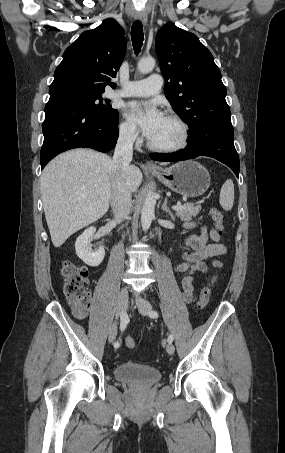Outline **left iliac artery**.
I'll use <instances>...</instances> for the list:
<instances>
[{
  "label": "left iliac artery",
  "mask_w": 285,
  "mask_h": 453,
  "mask_svg": "<svg viewBox=\"0 0 285 453\" xmlns=\"http://www.w3.org/2000/svg\"><path fill=\"white\" fill-rule=\"evenodd\" d=\"M149 316H150L151 318H158L159 314H158L157 311H154V310H153V311H150V312H149ZM173 339H174L173 335H169V336H168V342H169V343H172V342H173Z\"/></svg>",
  "instance_id": "1"
}]
</instances>
